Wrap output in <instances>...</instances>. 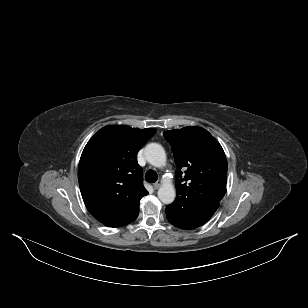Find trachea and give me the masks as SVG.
Wrapping results in <instances>:
<instances>
[{
    "mask_svg": "<svg viewBox=\"0 0 308 308\" xmlns=\"http://www.w3.org/2000/svg\"><path fill=\"white\" fill-rule=\"evenodd\" d=\"M145 179L149 183H154L158 179V175L154 170H148L145 174Z\"/></svg>",
    "mask_w": 308,
    "mask_h": 308,
    "instance_id": "obj_1",
    "label": "trachea"
}]
</instances>
